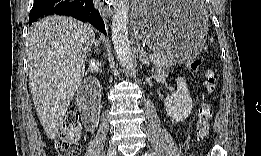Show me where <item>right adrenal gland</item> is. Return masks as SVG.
<instances>
[{"label": "right adrenal gland", "mask_w": 261, "mask_h": 156, "mask_svg": "<svg viewBox=\"0 0 261 156\" xmlns=\"http://www.w3.org/2000/svg\"><path fill=\"white\" fill-rule=\"evenodd\" d=\"M93 45L98 49V47L100 46V41L98 39H94L88 48L89 52L91 51Z\"/></svg>", "instance_id": "obj_1"}]
</instances>
